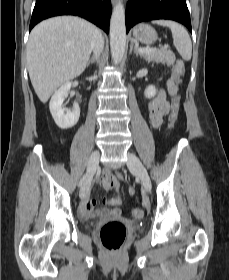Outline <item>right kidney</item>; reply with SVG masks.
<instances>
[{
	"instance_id": "ca27d5eb",
	"label": "right kidney",
	"mask_w": 229,
	"mask_h": 280,
	"mask_svg": "<svg viewBox=\"0 0 229 280\" xmlns=\"http://www.w3.org/2000/svg\"><path fill=\"white\" fill-rule=\"evenodd\" d=\"M71 89V83H64L51 97L49 109L56 125L61 129H69L73 127L79 120L80 108L75 103L72 111L63 108V101L68 96ZM66 111V113H65Z\"/></svg>"
}]
</instances>
